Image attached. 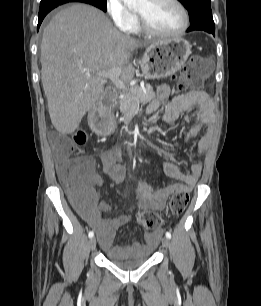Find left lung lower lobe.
<instances>
[{"label":"left lung lower lobe","instance_id":"left-lung-lower-lobe-1","mask_svg":"<svg viewBox=\"0 0 261 306\" xmlns=\"http://www.w3.org/2000/svg\"><path fill=\"white\" fill-rule=\"evenodd\" d=\"M193 30H203L215 36V27H209L205 25H190V27L187 29V32Z\"/></svg>","mask_w":261,"mask_h":306}]
</instances>
